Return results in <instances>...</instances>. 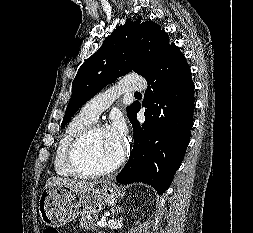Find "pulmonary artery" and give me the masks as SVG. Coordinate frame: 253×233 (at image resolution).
Instances as JSON below:
<instances>
[{
    "mask_svg": "<svg viewBox=\"0 0 253 233\" xmlns=\"http://www.w3.org/2000/svg\"><path fill=\"white\" fill-rule=\"evenodd\" d=\"M146 87V82L138 77H128L115 86L103 91L89 100L80 110V113L95 120L107 109L116 98L124 93H136Z\"/></svg>",
    "mask_w": 253,
    "mask_h": 233,
    "instance_id": "obj_1",
    "label": "pulmonary artery"
}]
</instances>
